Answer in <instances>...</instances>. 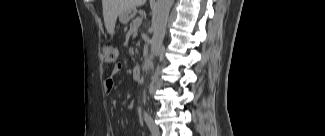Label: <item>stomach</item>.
I'll return each mask as SVG.
<instances>
[{"label": "stomach", "mask_w": 325, "mask_h": 136, "mask_svg": "<svg viewBox=\"0 0 325 136\" xmlns=\"http://www.w3.org/2000/svg\"><path fill=\"white\" fill-rule=\"evenodd\" d=\"M135 9H130L122 14H120L119 19L122 23H127L135 15Z\"/></svg>", "instance_id": "0dacf381"}]
</instances>
